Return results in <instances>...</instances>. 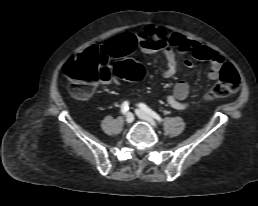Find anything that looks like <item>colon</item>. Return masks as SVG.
<instances>
[{
  "mask_svg": "<svg viewBox=\"0 0 258 206\" xmlns=\"http://www.w3.org/2000/svg\"><path fill=\"white\" fill-rule=\"evenodd\" d=\"M129 45L134 48V43ZM110 73L107 55L93 48L74 55L64 67L69 91L77 99L88 98L100 81L110 78ZM114 74L121 79L139 81L144 76V67L138 60L120 61L115 65ZM219 78V82L205 94V100L225 97L238 90L240 77L231 64L223 65Z\"/></svg>",
  "mask_w": 258,
  "mask_h": 206,
  "instance_id": "5ec220e1",
  "label": "colon"
}]
</instances>
